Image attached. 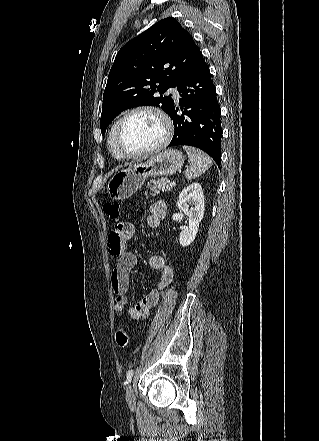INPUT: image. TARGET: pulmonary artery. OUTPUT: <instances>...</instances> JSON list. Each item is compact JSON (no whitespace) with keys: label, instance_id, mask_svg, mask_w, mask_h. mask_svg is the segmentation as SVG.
Wrapping results in <instances>:
<instances>
[{"label":"pulmonary artery","instance_id":"pulmonary-artery-1","mask_svg":"<svg viewBox=\"0 0 319 441\" xmlns=\"http://www.w3.org/2000/svg\"><path fill=\"white\" fill-rule=\"evenodd\" d=\"M169 93H171L175 98L179 97V92L175 87H171L169 90Z\"/></svg>","mask_w":319,"mask_h":441}]
</instances>
